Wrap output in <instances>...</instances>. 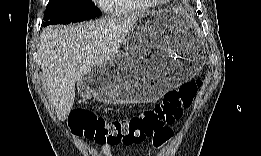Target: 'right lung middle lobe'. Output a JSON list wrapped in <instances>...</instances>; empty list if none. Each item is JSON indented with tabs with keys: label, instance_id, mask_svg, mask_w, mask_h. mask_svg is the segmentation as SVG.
Segmentation results:
<instances>
[{
	"label": "right lung middle lobe",
	"instance_id": "1",
	"mask_svg": "<svg viewBox=\"0 0 261 156\" xmlns=\"http://www.w3.org/2000/svg\"><path fill=\"white\" fill-rule=\"evenodd\" d=\"M101 15L90 0H50L43 26L88 20Z\"/></svg>",
	"mask_w": 261,
	"mask_h": 156
}]
</instances>
